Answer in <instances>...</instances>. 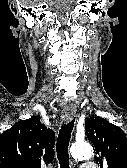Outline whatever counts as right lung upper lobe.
Returning <instances> with one entry per match:
<instances>
[{"label":"right lung upper lobe","instance_id":"cb5924a9","mask_svg":"<svg viewBox=\"0 0 127 168\" xmlns=\"http://www.w3.org/2000/svg\"><path fill=\"white\" fill-rule=\"evenodd\" d=\"M55 133L40 116L15 123L0 134V168H43L53 161Z\"/></svg>","mask_w":127,"mask_h":168}]
</instances>
